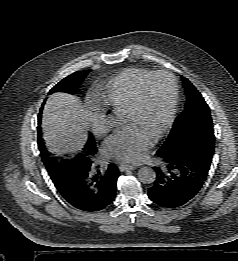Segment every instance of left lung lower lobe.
<instances>
[{
	"mask_svg": "<svg viewBox=\"0 0 238 261\" xmlns=\"http://www.w3.org/2000/svg\"><path fill=\"white\" fill-rule=\"evenodd\" d=\"M157 155L161 165L153 167L156 179L148 189V197L165 208L186 204L198 193L208 176L213 156L211 147L208 143H200L179 152Z\"/></svg>",
	"mask_w": 238,
	"mask_h": 261,
	"instance_id": "obj_1",
	"label": "left lung lower lobe"
}]
</instances>
